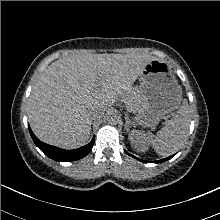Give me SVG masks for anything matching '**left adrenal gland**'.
I'll list each match as a JSON object with an SVG mask.
<instances>
[{"mask_svg":"<svg viewBox=\"0 0 220 220\" xmlns=\"http://www.w3.org/2000/svg\"><path fill=\"white\" fill-rule=\"evenodd\" d=\"M125 129L127 130V132L129 131V127H130V119L128 117V115H125Z\"/></svg>","mask_w":220,"mask_h":220,"instance_id":"a2214340","label":"left adrenal gland"}]
</instances>
